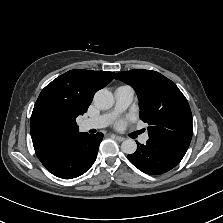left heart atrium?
Instances as JSON below:
<instances>
[{"instance_id": "obj_1", "label": "left heart atrium", "mask_w": 223, "mask_h": 223, "mask_svg": "<svg viewBox=\"0 0 223 223\" xmlns=\"http://www.w3.org/2000/svg\"><path fill=\"white\" fill-rule=\"evenodd\" d=\"M123 124H124V122L120 121V122L118 123V126L121 127V126H123Z\"/></svg>"}]
</instances>
